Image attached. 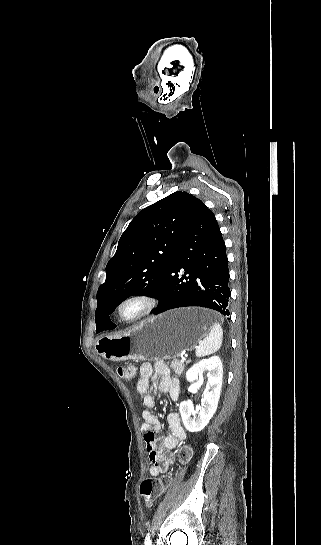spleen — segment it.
Wrapping results in <instances>:
<instances>
[{
    "label": "spleen",
    "mask_w": 321,
    "mask_h": 545,
    "mask_svg": "<svg viewBox=\"0 0 321 545\" xmlns=\"http://www.w3.org/2000/svg\"><path fill=\"white\" fill-rule=\"evenodd\" d=\"M223 341V329L219 323H213L211 331L204 339L200 341L198 347H196L197 357H207V355H213L220 349Z\"/></svg>",
    "instance_id": "spleen-1"
}]
</instances>
